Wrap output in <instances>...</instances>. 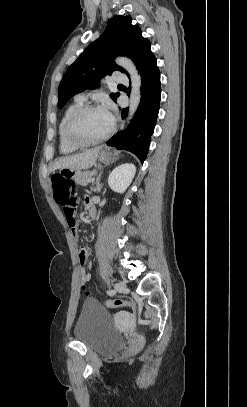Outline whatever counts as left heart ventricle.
Returning a JSON list of instances; mask_svg holds the SVG:
<instances>
[{
    "mask_svg": "<svg viewBox=\"0 0 247 407\" xmlns=\"http://www.w3.org/2000/svg\"><path fill=\"white\" fill-rule=\"evenodd\" d=\"M112 123L102 109L84 113L76 122L75 132L83 140H95L104 136Z\"/></svg>",
    "mask_w": 247,
    "mask_h": 407,
    "instance_id": "b2bd125f",
    "label": "left heart ventricle"
}]
</instances>
